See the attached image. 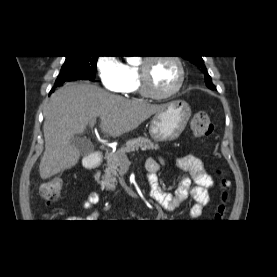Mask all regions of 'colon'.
<instances>
[{"label":"colon","instance_id":"1","mask_svg":"<svg viewBox=\"0 0 277 277\" xmlns=\"http://www.w3.org/2000/svg\"><path fill=\"white\" fill-rule=\"evenodd\" d=\"M190 129L192 134L200 139H208L212 136L214 127L211 122L209 115L204 111H197L193 114ZM224 191L221 195V202L217 207L215 213L216 222H222L225 220L229 214V193H228V184L224 179L222 181ZM63 181L60 177H53L40 186V194L42 198L47 202H52L56 200L62 191Z\"/></svg>","mask_w":277,"mask_h":277}]
</instances>
